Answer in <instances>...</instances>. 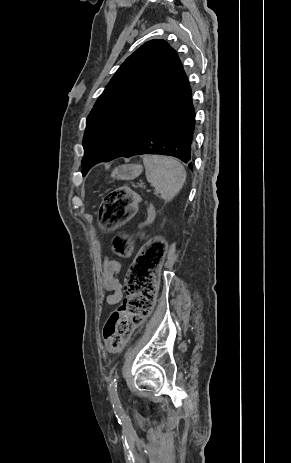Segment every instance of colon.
<instances>
[{
  "label": "colon",
  "mask_w": 291,
  "mask_h": 463,
  "mask_svg": "<svg viewBox=\"0 0 291 463\" xmlns=\"http://www.w3.org/2000/svg\"><path fill=\"white\" fill-rule=\"evenodd\" d=\"M139 202V195L128 187L121 186L110 191L99 208L100 226L111 229L125 223L133 215ZM113 250L119 256H128L131 251L128 238L125 235L116 236L113 239ZM165 252V242L155 237L137 254L125 277L126 297L104 325L103 338L109 350H120L132 328L150 315Z\"/></svg>",
  "instance_id": "obj_1"
}]
</instances>
